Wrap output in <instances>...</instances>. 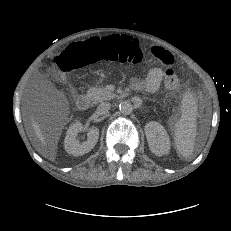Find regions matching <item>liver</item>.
Instances as JSON below:
<instances>
[{"label": "liver", "instance_id": "6515ba94", "mask_svg": "<svg viewBox=\"0 0 231 231\" xmlns=\"http://www.w3.org/2000/svg\"><path fill=\"white\" fill-rule=\"evenodd\" d=\"M33 130L35 132L36 137L38 138L40 142V147L38 148V152L43 155L44 157H49V159H54L55 158V148L50 147L48 145V142L46 141L44 135L42 134V131L40 129L39 124L33 120L32 122Z\"/></svg>", "mask_w": 231, "mask_h": 231}]
</instances>
